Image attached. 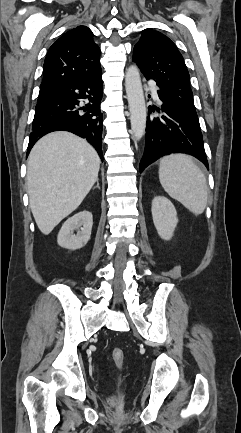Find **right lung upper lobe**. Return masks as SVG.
Listing matches in <instances>:
<instances>
[{"mask_svg": "<svg viewBox=\"0 0 241 433\" xmlns=\"http://www.w3.org/2000/svg\"><path fill=\"white\" fill-rule=\"evenodd\" d=\"M100 72V48L93 41V33L85 26H78L50 47L43 66L39 96L65 83L87 79Z\"/></svg>", "mask_w": 241, "mask_h": 433, "instance_id": "1", "label": "right lung upper lobe"}]
</instances>
